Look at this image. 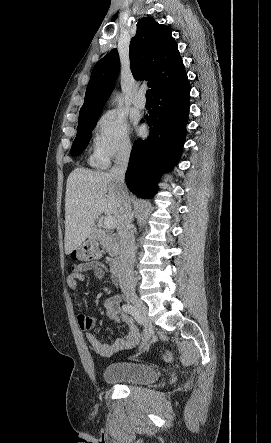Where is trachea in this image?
<instances>
[{
    "label": "trachea",
    "instance_id": "trachea-1",
    "mask_svg": "<svg viewBox=\"0 0 271 443\" xmlns=\"http://www.w3.org/2000/svg\"><path fill=\"white\" fill-rule=\"evenodd\" d=\"M146 99H147V100H152V93H151V90H147V91H146Z\"/></svg>",
    "mask_w": 271,
    "mask_h": 443
}]
</instances>
